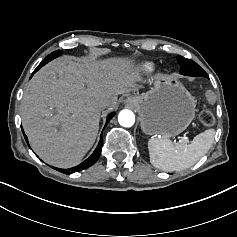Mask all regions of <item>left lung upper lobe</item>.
I'll list each match as a JSON object with an SVG mask.
<instances>
[{
	"label": "left lung upper lobe",
	"instance_id": "left-lung-upper-lobe-1",
	"mask_svg": "<svg viewBox=\"0 0 237 237\" xmlns=\"http://www.w3.org/2000/svg\"><path fill=\"white\" fill-rule=\"evenodd\" d=\"M178 63L181 66L180 73L185 76L204 77L209 79L207 73L193 60L177 56Z\"/></svg>",
	"mask_w": 237,
	"mask_h": 237
}]
</instances>
